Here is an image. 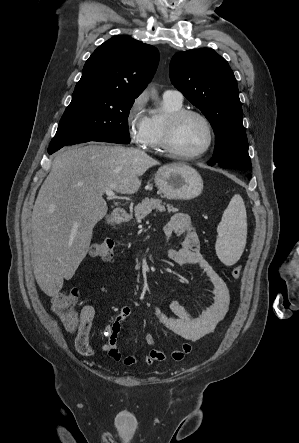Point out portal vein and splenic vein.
Listing matches in <instances>:
<instances>
[{"label": "portal vein and splenic vein", "mask_w": 299, "mask_h": 443, "mask_svg": "<svg viewBox=\"0 0 299 443\" xmlns=\"http://www.w3.org/2000/svg\"><path fill=\"white\" fill-rule=\"evenodd\" d=\"M105 194L110 198H113L115 196V193L112 189L106 190Z\"/></svg>", "instance_id": "obj_1"}]
</instances>
